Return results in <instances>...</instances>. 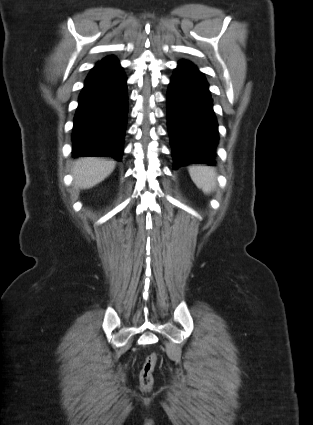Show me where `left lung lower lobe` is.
I'll use <instances>...</instances> for the list:
<instances>
[{
	"label": "left lung lower lobe",
	"mask_w": 313,
	"mask_h": 425,
	"mask_svg": "<svg viewBox=\"0 0 313 425\" xmlns=\"http://www.w3.org/2000/svg\"><path fill=\"white\" fill-rule=\"evenodd\" d=\"M209 85L194 64L181 60L167 93V120L174 168L215 164L218 124Z\"/></svg>",
	"instance_id": "obj_1"
}]
</instances>
